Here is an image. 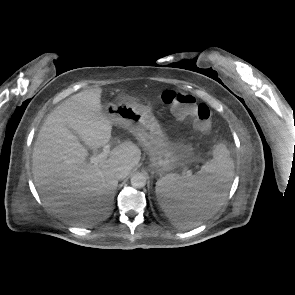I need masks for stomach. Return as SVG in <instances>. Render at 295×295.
I'll return each mask as SVG.
<instances>
[{
    "instance_id": "1",
    "label": "stomach",
    "mask_w": 295,
    "mask_h": 295,
    "mask_svg": "<svg viewBox=\"0 0 295 295\" xmlns=\"http://www.w3.org/2000/svg\"><path fill=\"white\" fill-rule=\"evenodd\" d=\"M104 113L112 123L126 127L148 149L151 169L164 174L181 163L183 146L165 137L151 107L120 100L107 104Z\"/></svg>"
}]
</instances>
